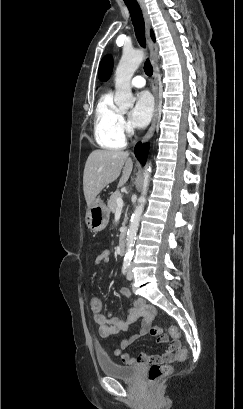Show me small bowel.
<instances>
[{
  "instance_id": "obj_1",
  "label": "small bowel",
  "mask_w": 243,
  "mask_h": 409,
  "mask_svg": "<svg viewBox=\"0 0 243 409\" xmlns=\"http://www.w3.org/2000/svg\"><path fill=\"white\" fill-rule=\"evenodd\" d=\"M110 260V253L107 250H101L97 256V263L106 264ZM120 293L126 297H132V292L129 288L124 287L120 290ZM155 307L141 298H137L133 301L130 308L129 315L126 319H121L114 311L104 315L101 312L93 313L92 319L98 326L99 335L102 338L109 339L113 335L125 331L129 325L139 319H142V325L138 334H134L124 338L120 343V348L111 346L109 351L112 355L119 357L124 363L128 365L144 364L150 361L155 362H174L178 357L179 342H171L167 336H164L158 343L161 345L169 343V348L161 355L150 357L146 354L133 357L127 352H123V349L129 347L139 337L149 334L153 320L155 319Z\"/></svg>"
}]
</instances>
